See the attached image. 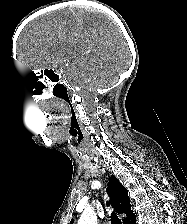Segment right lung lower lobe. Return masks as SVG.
Returning <instances> with one entry per match:
<instances>
[{
	"mask_svg": "<svg viewBox=\"0 0 187 224\" xmlns=\"http://www.w3.org/2000/svg\"><path fill=\"white\" fill-rule=\"evenodd\" d=\"M128 224H136L135 217Z\"/></svg>",
	"mask_w": 187,
	"mask_h": 224,
	"instance_id": "98d812e1",
	"label": "right lung lower lobe"
}]
</instances>
